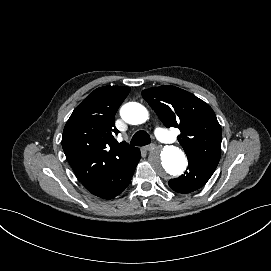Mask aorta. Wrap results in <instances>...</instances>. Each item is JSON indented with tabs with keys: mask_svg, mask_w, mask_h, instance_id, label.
Masks as SVG:
<instances>
[{
	"mask_svg": "<svg viewBox=\"0 0 271 271\" xmlns=\"http://www.w3.org/2000/svg\"><path fill=\"white\" fill-rule=\"evenodd\" d=\"M122 119L132 125L142 124L148 119L147 109L137 103L129 102L120 110ZM149 161L154 171L164 178L181 175L187 168V158L184 152L175 146H165L150 153Z\"/></svg>",
	"mask_w": 271,
	"mask_h": 271,
	"instance_id": "1",
	"label": "aorta"
}]
</instances>
